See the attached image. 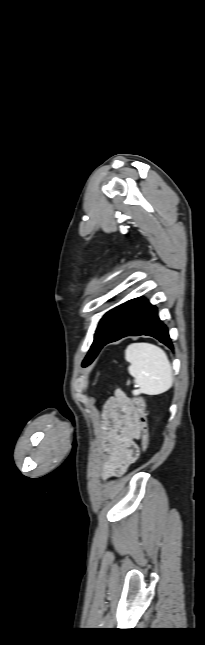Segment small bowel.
Wrapping results in <instances>:
<instances>
[{"mask_svg": "<svg viewBox=\"0 0 205 645\" xmlns=\"http://www.w3.org/2000/svg\"><path fill=\"white\" fill-rule=\"evenodd\" d=\"M140 438L137 414L132 400L116 391L104 407L99 447L102 451L103 479L119 477L139 456Z\"/></svg>", "mask_w": 205, "mask_h": 645, "instance_id": "c3829d8e", "label": "small bowel"}]
</instances>
